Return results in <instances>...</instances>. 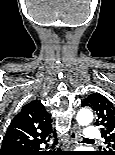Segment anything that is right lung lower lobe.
<instances>
[{
	"label": "right lung lower lobe",
	"mask_w": 115,
	"mask_h": 155,
	"mask_svg": "<svg viewBox=\"0 0 115 155\" xmlns=\"http://www.w3.org/2000/svg\"><path fill=\"white\" fill-rule=\"evenodd\" d=\"M40 149V144H35L21 150L13 151L7 155H46V153L40 151Z\"/></svg>",
	"instance_id": "98d812e1"
}]
</instances>
